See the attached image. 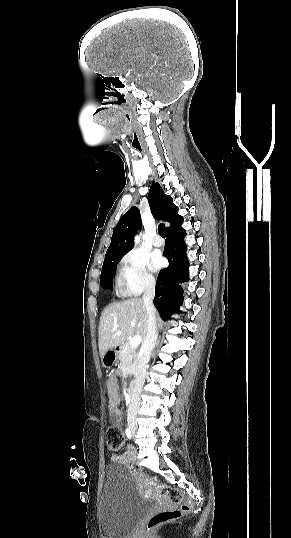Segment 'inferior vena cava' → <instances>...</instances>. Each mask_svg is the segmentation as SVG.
Returning <instances> with one entry per match:
<instances>
[{"mask_svg": "<svg viewBox=\"0 0 291 538\" xmlns=\"http://www.w3.org/2000/svg\"><path fill=\"white\" fill-rule=\"evenodd\" d=\"M155 296V281L147 280L145 284V292L143 295V302L147 310L148 316V328L147 334L144 338L142 347L140 349V361L136 374L135 385L131 396V401L127 411L128 423H135L137 411L140 407L141 392L145 382L146 368L150 360L151 352L156 345L158 337L156 328V310L153 305V298Z\"/></svg>", "mask_w": 291, "mask_h": 538, "instance_id": "inferior-vena-cava-1", "label": "inferior vena cava"}]
</instances>
